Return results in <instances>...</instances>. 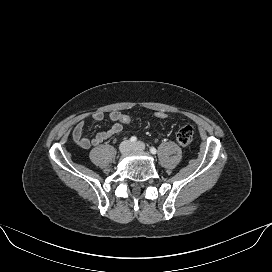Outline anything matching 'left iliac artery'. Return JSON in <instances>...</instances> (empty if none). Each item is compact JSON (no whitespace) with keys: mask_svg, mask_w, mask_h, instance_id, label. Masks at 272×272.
<instances>
[{"mask_svg":"<svg viewBox=\"0 0 272 272\" xmlns=\"http://www.w3.org/2000/svg\"><path fill=\"white\" fill-rule=\"evenodd\" d=\"M150 152H151L152 154H156V153H157V150H156V148L151 147V148H150Z\"/></svg>","mask_w":272,"mask_h":272,"instance_id":"1","label":"left iliac artery"}]
</instances>
